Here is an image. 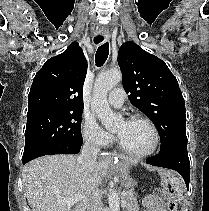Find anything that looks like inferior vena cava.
Instances as JSON below:
<instances>
[{"label": "inferior vena cava", "mask_w": 209, "mask_h": 211, "mask_svg": "<svg viewBox=\"0 0 209 211\" xmlns=\"http://www.w3.org/2000/svg\"><path fill=\"white\" fill-rule=\"evenodd\" d=\"M98 152L99 148L96 144L92 142H86L82 147L81 154L78 156L77 161L86 171L91 172L94 169ZM87 211H103L98 188L93 190L91 198L88 202Z\"/></svg>", "instance_id": "inferior-vena-cava-1"}]
</instances>
